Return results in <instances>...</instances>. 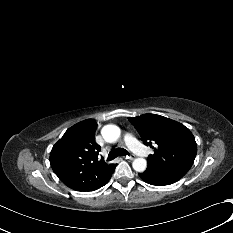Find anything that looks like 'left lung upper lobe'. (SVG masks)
Wrapping results in <instances>:
<instances>
[{
  "instance_id": "1",
  "label": "left lung upper lobe",
  "mask_w": 233,
  "mask_h": 233,
  "mask_svg": "<svg viewBox=\"0 0 233 233\" xmlns=\"http://www.w3.org/2000/svg\"><path fill=\"white\" fill-rule=\"evenodd\" d=\"M128 120L144 144L154 149V153L148 156V167L174 180H180L189 171L197 145L187 127L156 114H144Z\"/></svg>"
}]
</instances>
